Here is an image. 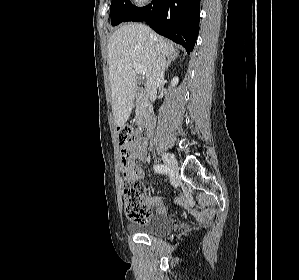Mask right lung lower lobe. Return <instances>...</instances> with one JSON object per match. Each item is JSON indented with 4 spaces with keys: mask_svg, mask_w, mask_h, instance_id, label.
<instances>
[{
    "mask_svg": "<svg viewBox=\"0 0 299 280\" xmlns=\"http://www.w3.org/2000/svg\"><path fill=\"white\" fill-rule=\"evenodd\" d=\"M152 4L135 7L124 22L145 21L158 34L183 45L189 54L199 33L200 0H153Z\"/></svg>",
    "mask_w": 299,
    "mask_h": 280,
    "instance_id": "right-lung-lower-lobe-1",
    "label": "right lung lower lobe"
}]
</instances>
